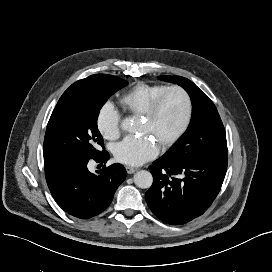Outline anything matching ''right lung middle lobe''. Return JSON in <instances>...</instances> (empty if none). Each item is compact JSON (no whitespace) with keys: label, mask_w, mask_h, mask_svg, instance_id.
I'll list each match as a JSON object with an SVG mask.
<instances>
[{"label":"right lung middle lobe","mask_w":272,"mask_h":272,"mask_svg":"<svg viewBox=\"0 0 272 272\" xmlns=\"http://www.w3.org/2000/svg\"><path fill=\"white\" fill-rule=\"evenodd\" d=\"M127 81L112 75L96 74L85 84L59 99L46 128L43 156H72L92 159L104 149L97 128L101 107Z\"/></svg>","instance_id":"dd1d6c3e"}]
</instances>
